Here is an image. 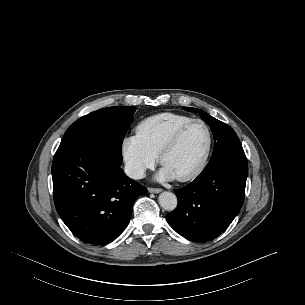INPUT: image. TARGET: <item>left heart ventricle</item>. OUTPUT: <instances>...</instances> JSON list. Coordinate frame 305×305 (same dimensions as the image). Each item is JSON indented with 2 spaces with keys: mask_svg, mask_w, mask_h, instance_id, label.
Returning <instances> with one entry per match:
<instances>
[{
  "mask_svg": "<svg viewBox=\"0 0 305 305\" xmlns=\"http://www.w3.org/2000/svg\"><path fill=\"white\" fill-rule=\"evenodd\" d=\"M207 132L203 125L193 124L183 133L178 145L164 160V167L175 177L192 171L201 161L207 146Z\"/></svg>",
  "mask_w": 305,
  "mask_h": 305,
  "instance_id": "left-heart-ventricle-1",
  "label": "left heart ventricle"
}]
</instances>
